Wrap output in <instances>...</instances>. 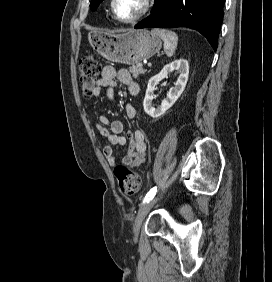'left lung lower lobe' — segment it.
<instances>
[{
    "label": "left lung lower lobe",
    "mask_w": 272,
    "mask_h": 282,
    "mask_svg": "<svg viewBox=\"0 0 272 282\" xmlns=\"http://www.w3.org/2000/svg\"><path fill=\"white\" fill-rule=\"evenodd\" d=\"M225 0H155L153 12L134 28L188 27L207 38L214 50Z\"/></svg>",
    "instance_id": "obj_1"
}]
</instances>
